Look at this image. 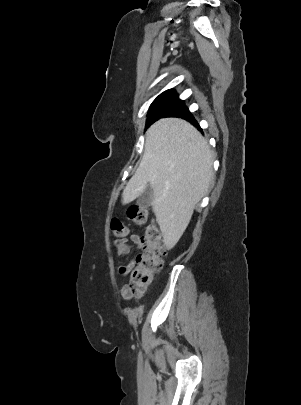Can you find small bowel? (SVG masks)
I'll use <instances>...</instances> for the list:
<instances>
[{
  "label": "small bowel",
  "instance_id": "1",
  "mask_svg": "<svg viewBox=\"0 0 301 405\" xmlns=\"http://www.w3.org/2000/svg\"><path fill=\"white\" fill-rule=\"evenodd\" d=\"M130 243L136 244L141 248V238L136 234H131L129 235L128 238L122 237L115 242L117 249L116 254L119 259L124 258L130 253L131 251ZM133 266H134L133 260L129 264L120 263L118 266L119 273L122 275H128ZM121 293L125 298L130 296L127 286L122 287Z\"/></svg>",
  "mask_w": 301,
  "mask_h": 405
}]
</instances>
